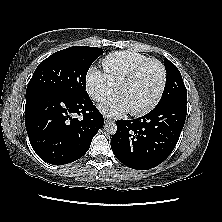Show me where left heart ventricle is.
<instances>
[{
    "mask_svg": "<svg viewBox=\"0 0 222 222\" xmlns=\"http://www.w3.org/2000/svg\"><path fill=\"white\" fill-rule=\"evenodd\" d=\"M162 79L160 67L150 63L144 67L133 82L124 86L119 92L127 102L130 110L147 105L156 96Z\"/></svg>",
    "mask_w": 222,
    "mask_h": 222,
    "instance_id": "1",
    "label": "left heart ventricle"
}]
</instances>
